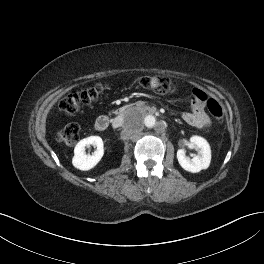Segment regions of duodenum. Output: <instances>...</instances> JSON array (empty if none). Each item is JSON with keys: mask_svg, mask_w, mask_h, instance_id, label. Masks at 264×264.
I'll use <instances>...</instances> for the list:
<instances>
[{"mask_svg": "<svg viewBox=\"0 0 264 264\" xmlns=\"http://www.w3.org/2000/svg\"><path fill=\"white\" fill-rule=\"evenodd\" d=\"M133 106H134L133 104H129V105H124V106L120 107L116 111V115L122 116L124 113H126L128 110H130ZM145 110H146V112H148L150 114L156 113V109L153 107H147ZM110 123H111V118L108 115H102L96 120L94 126H95V129L97 131H104L109 127Z\"/></svg>", "mask_w": 264, "mask_h": 264, "instance_id": "obj_1", "label": "duodenum"}]
</instances>
